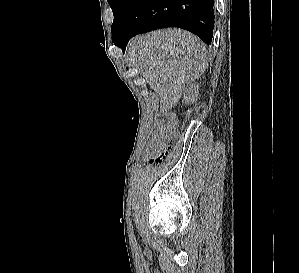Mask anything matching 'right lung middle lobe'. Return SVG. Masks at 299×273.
Segmentation results:
<instances>
[{
  "label": "right lung middle lobe",
  "instance_id": "obj_1",
  "mask_svg": "<svg viewBox=\"0 0 299 273\" xmlns=\"http://www.w3.org/2000/svg\"><path fill=\"white\" fill-rule=\"evenodd\" d=\"M134 0H108L113 11L112 41L116 38Z\"/></svg>",
  "mask_w": 299,
  "mask_h": 273
}]
</instances>
